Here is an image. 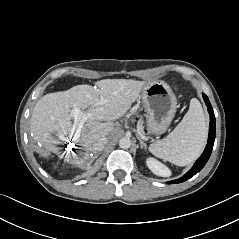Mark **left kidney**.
I'll return each mask as SVG.
<instances>
[{
  "label": "left kidney",
  "instance_id": "5707ae66",
  "mask_svg": "<svg viewBox=\"0 0 239 239\" xmlns=\"http://www.w3.org/2000/svg\"><path fill=\"white\" fill-rule=\"evenodd\" d=\"M146 164L148 166V168L156 175L161 176V177H167L170 176L171 172L170 170L164 166L163 164H161L160 162H158L157 160L153 159V158H148L146 160Z\"/></svg>",
  "mask_w": 239,
  "mask_h": 239
}]
</instances>
